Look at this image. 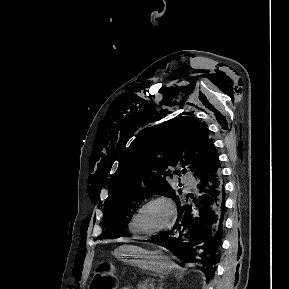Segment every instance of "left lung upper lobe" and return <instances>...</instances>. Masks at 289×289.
I'll return each mask as SVG.
<instances>
[{"label":"left lung upper lobe","mask_w":289,"mask_h":289,"mask_svg":"<svg viewBox=\"0 0 289 289\" xmlns=\"http://www.w3.org/2000/svg\"><path fill=\"white\" fill-rule=\"evenodd\" d=\"M215 150L207 127L190 116L173 118L141 132L120 158L109 181L99 239L121 237L124 225L151 194L176 201L182 190L172 188L170 168L188 166L195 174Z\"/></svg>","instance_id":"obj_1"}]
</instances>
